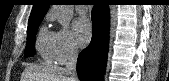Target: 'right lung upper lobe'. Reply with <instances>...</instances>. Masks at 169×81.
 Returning a JSON list of instances; mask_svg holds the SVG:
<instances>
[{
	"mask_svg": "<svg viewBox=\"0 0 169 81\" xmlns=\"http://www.w3.org/2000/svg\"><path fill=\"white\" fill-rule=\"evenodd\" d=\"M50 4L51 0H34V5L28 24L34 21L42 20Z\"/></svg>",
	"mask_w": 169,
	"mask_h": 81,
	"instance_id": "1",
	"label": "right lung upper lobe"
}]
</instances>
